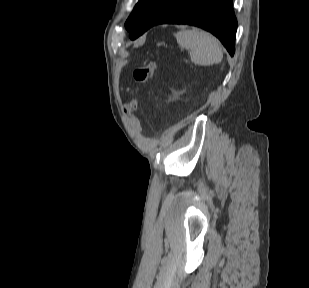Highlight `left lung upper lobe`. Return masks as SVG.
I'll list each match as a JSON object with an SVG mask.
<instances>
[{
    "label": "left lung upper lobe",
    "instance_id": "left-lung-upper-lobe-1",
    "mask_svg": "<svg viewBox=\"0 0 309 288\" xmlns=\"http://www.w3.org/2000/svg\"><path fill=\"white\" fill-rule=\"evenodd\" d=\"M161 0H139L125 23L129 37L136 34Z\"/></svg>",
    "mask_w": 309,
    "mask_h": 288
}]
</instances>
